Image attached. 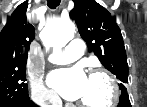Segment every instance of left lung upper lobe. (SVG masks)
I'll return each instance as SVG.
<instances>
[{
  "instance_id": "1",
  "label": "left lung upper lobe",
  "mask_w": 147,
  "mask_h": 107,
  "mask_svg": "<svg viewBox=\"0 0 147 107\" xmlns=\"http://www.w3.org/2000/svg\"><path fill=\"white\" fill-rule=\"evenodd\" d=\"M70 17L76 21L79 33L103 66L116 75L121 93L127 91L128 64L116 19L95 0H73Z\"/></svg>"
}]
</instances>
